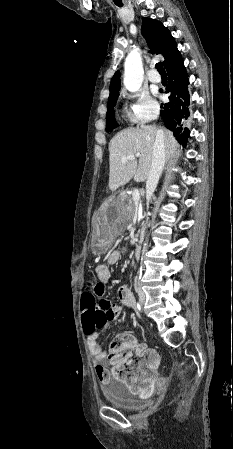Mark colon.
<instances>
[{
    "label": "colon",
    "mask_w": 233,
    "mask_h": 449,
    "mask_svg": "<svg viewBox=\"0 0 233 449\" xmlns=\"http://www.w3.org/2000/svg\"><path fill=\"white\" fill-rule=\"evenodd\" d=\"M94 277L90 276L88 279V287H93ZM95 293L83 292L80 298L81 319L83 328H103L104 317H108L105 313V308H100L95 301ZM113 315V314H112ZM111 316V315H110ZM128 340L126 336H119L110 345V358L114 360V356L118 353L119 347ZM116 365L120 364V361H115Z\"/></svg>",
    "instance_id": "colon-1"
}]
</instances>
